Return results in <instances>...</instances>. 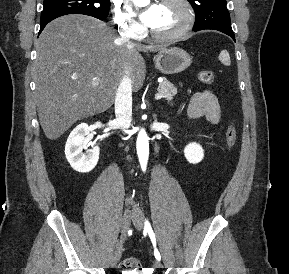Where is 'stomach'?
Wrapping results in <instances>:
<instances>
[{"label": "stomach", "instance_id": "1", "mask_svg": "<svg viewBox=\"0 0 289 274\" xmlns=\"http://www.w3.org/2000/svg\"><path fill=\"white\" fill-rule=\"evenodd\" d=\"M190 55L181 48H163L154 57L155 67L163 74H176L191 64Z\"/></svg>", "mask_w": 289, "mask_h": 274}]
</instances>
